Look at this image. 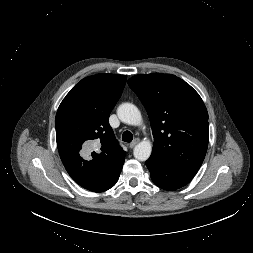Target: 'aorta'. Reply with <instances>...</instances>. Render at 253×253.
Instances as JSON below:
<instances>
[{
  "instance_id": "obj_1",
  "label": "aorta",
  "mask_w": 253,
  "mask_h": 253,
  "mask_svg": "<svg viewBox=\"0 0 253 253\" xmlns=\"http://www.w3.org/2000/svg\"><path fill=\"white\" fill-rule=\"evenodd\" d=\"M119 119L128 125H139L142 116L139 109L131 103H123L117 109ZM152 153V144L148 140L141 141L134 148V157L139 161H146Z\"/></svg>"
}]
</instances>
